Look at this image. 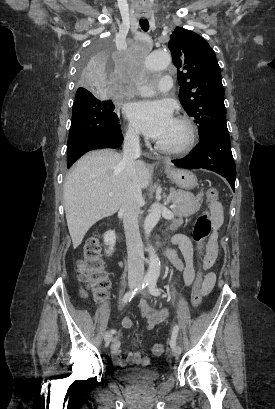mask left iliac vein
<instances>
[{"label": "left iliac vein", "instance_id": "obj_1", "mask_svg": "<svg viewBox=\"0 0 275 409\" xmlns=\"http://www.w3.org/2000/svg\"><path fill=\"white\" fill-rule=\"evenodd\" d=\"M142 294L145 295V292L142 291ZM180 353H181V350H180L179 346H175V347L172 348V354L174 356H179Z\"/></svg>", "mask_w": 275, "mask_h": 409}]
</instances>
